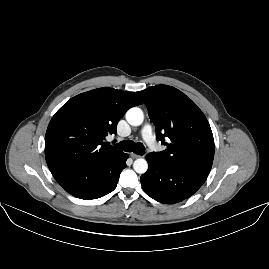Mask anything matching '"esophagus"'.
Segmentation results:
<instances>
[{
	"label": "esophagus",
	"mask_w": 269,
	"mask_h": 269,
	"mask_svg": "<svg viewBox=\"0 0 269 269\" xmlns=\"http://www.w3.org/2000/svg\"><path fill=\"white\" fill-rule=\"evenodd\" d=\"M130 156H131L132 158H140V157H141L140 155L135 154V153H131Z\"/></svg>",
	"instance_id": "obj_1"
}]
</instances>
